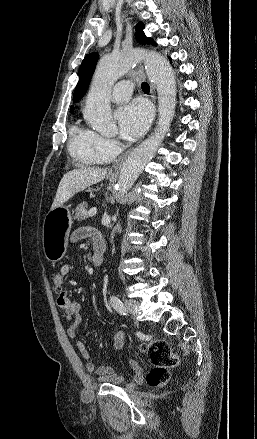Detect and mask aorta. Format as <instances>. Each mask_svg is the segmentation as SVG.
Returning <instances> with one entry per match:
<instances>
[{
    "label": "aorta",
    "instance_id": "aorta-1",
    "mask_svg": "<svg viewBox=\"0 0 257 439\" xmlns=\"http://www.w3.org/2000/svg\"><path fill=\"white\" fill-rule=\"evenodd\" d=\"M141 59L145 62L149 79L156 85L159 121L152 136L134 149L124 162L117 183L120 195L132 187L146 164L151 161L173 120L177 88L169 61L155 51L142 49H133L118 56H103L96 68L83 112L84 118L94 130L105 136L114 135L117 127L109 101L112 86Z\"/></svg>",
    "mask_w": 257,
    "mask_h": 439
}]
</instances>
